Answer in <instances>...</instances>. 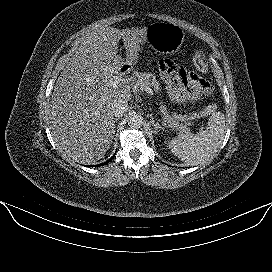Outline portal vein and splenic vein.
<instances>
[{
	"label": "portal vein and splenic vein",
	"mask_w": 272,
	"mask_h": 272,
	"mask_svg": "<svg viewBox=\"0 0 272 272\" xmlns=\"http://www.w3.org/2000/svg\"><path fill=\"white\" fill-rule=\"evenodd\" d=\"M121 83H126V81L119 79L117 77L110 81V85L112 86H117L118 84H121ZM144 91L148 93L150 96H153V90L150 87H146Z\"/></svg>",
	"instance_id": "portal-vein-and-splenic-vein-1"
}]
</instances>
